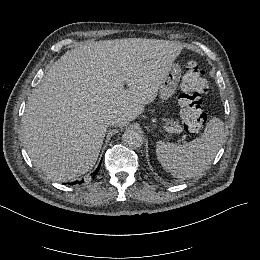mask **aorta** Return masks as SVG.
Instances as JSON below:
<instances>
[{"mask_svg": "<svg viewBox=\"0 0 260 260\" xmlns=\"http://www.w3.org/2000/svg\"><path fill=\"white\" fill-rule=\"evenodd\" d=\"M143 135L136 129H127L122 135V141L131 148H139L143 144Z\"/></svg>", "mask_w": 260, "mask_h": 260, "instance_id": "1", "label": "aorta"}]
</instances>
